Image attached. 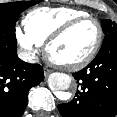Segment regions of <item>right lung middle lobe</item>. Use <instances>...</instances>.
<instances>
[{
  "mask_svg": "<svg viewBox=\"0 0 117 117\" xmlns=\"http://www.w3.org/2000/svg\"><path fill=\"white\" fill-rule=\"evenodd\" d=\"M37 1H19L0 4V26L15 29V23L20 13Z\"/></svg>",
  "mask_w": 117,
  "mask_h": 117,
  "instance_id": "right-lung-middle-lobe-1",
  "label": "right lung middle lobe"
}]
</instances>
